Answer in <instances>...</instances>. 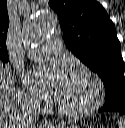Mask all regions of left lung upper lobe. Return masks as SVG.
I'll return each mask as SVG.
<instances>
[{"label": "left lung upper lobe", "mask_w": 125, "mask_h": 128, "mask_svg": "<svg viewBox=\"0 0 125 128\" xmlns=\"http://www.w3.org/2000/svg\"><path fill=\"white\" fill-rule=\"evenodd\" d=\"M66 46L102 79L104 106L125 103L124 61L115 25L94 0H50Z\"/></svg>", "instance_id": "1"}]
</instances>
